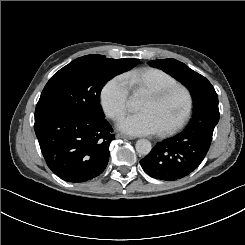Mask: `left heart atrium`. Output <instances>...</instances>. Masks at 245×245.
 <instances>
[{
    "mask_svg": "<svg viewBox=\"0 0 245 245\" xmlns=\"http://www.w3.org/2000/svg\"><path fill=\"white\" fill-rule=\"evenodd\" d=\"M118 127L130 134H154L161 130L156 119L146 111L122 119Z\"/></svg>",
    "mask_w": 245,
    "mask_h": 245,
    "instance_id": "1",
    "label": "left heart atrium"
}]
</instances>
